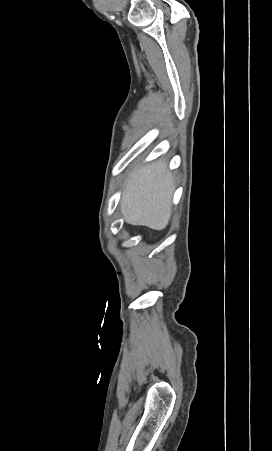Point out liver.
I'll return each mask as SVG.
<instances>
[{"label": "liver", "mask_w": 272, "mask_h": 451, "mask_svg": "<svg viewBox=\"0 0 272 451\" xmlns=\"http://www.w3.org/2000/svg\"><path fill=\"white\" fill-rule=\"evenodd\" d=\"M120 206L122 216L132 226L164 229L171 216L174 182L165 162H154L131 172Z\"/></svg>", "instance_id": "6515ba94"}]
</instances>
